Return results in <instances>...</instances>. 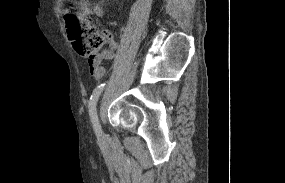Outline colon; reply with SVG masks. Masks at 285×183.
<instances>
[{"label": "colon", "instance_id": "5ec220e1", "mask_svg": "<svg viewBox=\"0 0 285 183\" xmlns=\"http://www.w3.org/2000/svg\"><path fill=\"white\" fill-rule=\"evenodd\" d=\"M65 25L75 51L89 60L97 59L111 39L108 32L100 31L90 20L74 12L65 15Z\"/></svg>", "mask_w": 285, "mask_h": 183}]
</instances>
